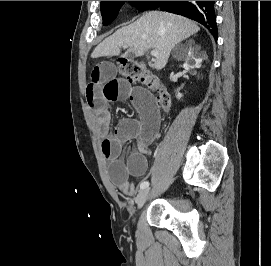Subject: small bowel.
I'll list each match as a JSON object with an SVG mask.
<instances>
[{
  "instance_id": "obj_1",
  "label": "small bowel",
  "mask_w": 271,
  "mask_h": 266,
  "mask_svg": "<svg viewBox=\"0 0 271 266\" xmlns=\"http://www.w3.org/2000/svg\"><path fill=\"white\" fill-rule=\"evenodd\" d=\"M125 100L132 103L138 117L122 119L111 132L108 107L114 102ZM86 101L92 110L94 128L102 138V153L110 160L108 172L111 181L124 194L132 196L135 187L129 178L146 173L149 145L160 135V116L153 97L117 77L115 66L103 62L92 70L86 86ZM131 140L137 141V150L124 160L120 157L122 147Z\"/></svg>"
}]
</instances>
